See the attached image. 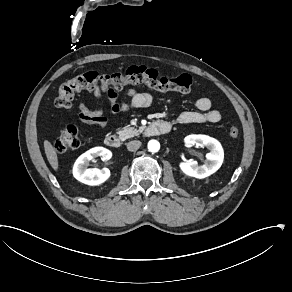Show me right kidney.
Returning <instances> with one entry per match:
<instances>
[{
	"label": "right kidney",
	"instance_id": "right-kidney-1",
	"mask_svg": "<svg viewBox=\"0 0 292 292\" xmlns=\"http://www.w3.org/2000/svg\"><path fill=\"white\" fill-rule=\"evenodd\" d=\"M97 157L107 160L111 157V152L106 148L96 147L79 156L73 166L74 178L90 186H98L107 181L111 176L109 169L87 168L89 163Z\"/></svg>",
	"mask_w": 292,
	"mask_h": 292
}]
</instances>
